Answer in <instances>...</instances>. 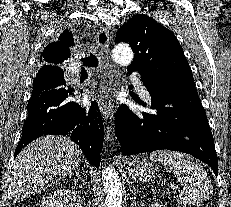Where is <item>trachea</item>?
Segmentation results:
<instances>
[{"label":"trachea","instance_id":"trachea-1","mask_svg":"<svg viewBox=\"0 0 231 207\" xmlns=\"http://www.w3.org/2000/svg\"><path fill=\"white\" fill-rule=\"evenodd\" d=\"M81 61H82V70H81L82 77L88 76L86 68H90V67L96 68L99 64L98 58L93 54H90L89 57L83 58Z\"/></svg>","mask_w":231,"mask_h":207}]
</instances>
